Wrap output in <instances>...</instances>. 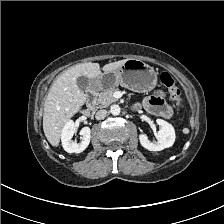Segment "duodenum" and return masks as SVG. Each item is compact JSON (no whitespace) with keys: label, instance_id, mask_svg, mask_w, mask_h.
<instances>
[{"label":"duodenum","instance_id":"duodenum-1","mask_svg":"<svg viewBox=\"0 0 224 224\" xmlns=\"http://www.w3.org/2000/svg\"><path fill=\"white\" fill-rule=\"evenodd\" d=\"M96 92L95 90L91 89L87 94V103L84 106L82 113L84 116L89 117L94 112V98H95Z\"/></svg>","mask_w":224,"mask_h":224}]
</instances>
